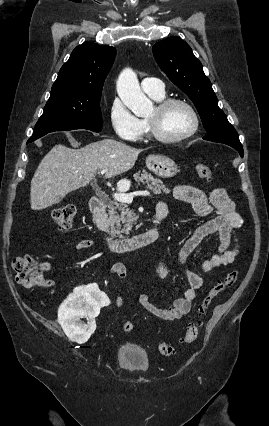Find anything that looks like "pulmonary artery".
<instances>
[{"mask_svg":"<svg viewBox=\"0 0 269 426\" xmlns=\"http://www.w3.org/2000/svg\"><path fill=\"white\" fill-rule=\"evenodd\" d=\"M141 87L145 93L154 97H162L165 95L164 84L156 78H144L141 81Z\"/></svg>","mask_w":269,"mask_h":426,"instance_id":"e3ab8cb5","label":"pulmonary artery"}]
</instances>
